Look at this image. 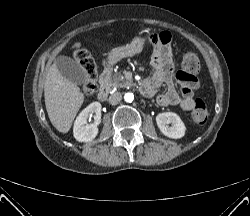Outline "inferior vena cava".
Here are the masks:
<instances>
[{
    "label": "inferior vena cava",
    "instance_id": "1",
    "mask_svg": "<svg viewBox=\"0 0 250 216\" xmlns=\"http://www.w3.org/2000/svg\"><path fill=\"white\" fill-rule=\"evenodd\" d=\"M122 100V94L120 92H114L109 96V103L112 105L118 104Z\"/></svg>",
    "mask_w": 250,
    "mask_h": 216
}]
</instances>
